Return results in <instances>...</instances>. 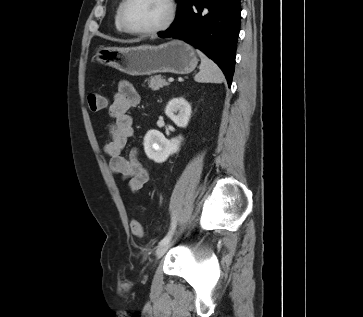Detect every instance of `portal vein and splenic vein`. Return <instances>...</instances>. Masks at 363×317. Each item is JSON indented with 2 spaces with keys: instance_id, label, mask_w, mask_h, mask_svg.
<instances>
[{
  "instance_id": "18ae733b",
  "label": "portal vein and splenic vein",
  "mask_w": 363,
  "mask_h": 317,
  "mask_svg": "<svg viewBox=\"0 0 363 317\" xmlns=\"http://www.w3.org/2000/svg\"><path fill=\"white\" fill-rule=\"evenodd\" d=\"M174 81V79L172 78V77H170L169 79H168V82H173Z\"/></svg>"
}]
</instances>
